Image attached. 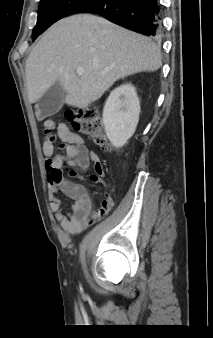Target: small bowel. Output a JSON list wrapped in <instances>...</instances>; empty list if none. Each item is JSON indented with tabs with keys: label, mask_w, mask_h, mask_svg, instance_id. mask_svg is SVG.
<instances>
[{
	"label": "small bowel",
	"mask_w": 213,
	"mask_h": 338,
	"mask_svg": "<svg viewBox=\"0 0 213 338\" xmlns=\"http://www.w3.org/2000/svg\"><path fill=\"white\" fill-rule=\"evenodd\" d=\"M54 130H56L55 135L53 134ZM43 134L46 168L50 165L51 160H55L59 167L66 164L86 170L91 163H94L95 168L100 167L101 169L98 155L95 152H90L84 145L81 136L72 132L66 124L56 125L54 121L46 120L43 124ZM56 138L66 144L63 154L55 151ZM48 191L51 198L50 209L55 213L60 227L67 233H79L94 221V212L91 211V195L84 185L62 178L59 182L50 184ZM59 192L72 201L70 213H63L60 200L56 197ZM104 200L113 204V199L108 195Z\"/></svg>",
	"instance_id": "obj_1"
}]
</instances>
